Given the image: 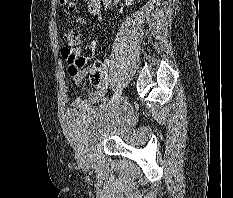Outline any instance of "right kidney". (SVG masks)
I'll use <instances>...</instances> for the list:
<instances>
[{"instance_id":"obj_1","label":"right kidney","mask_w":233,"mask_h":198,"mask_svg":"<svg viewBox=\"0 0 233 198\" xmlns=\"http://www.w3.org/2000/svg\"><path fill=\"white\" fill-rule=\"evenodd\" d=\"M132 1L133 0H125V3H126L127 6H130L132 4Z\"/></svg>"}]
</instances>
